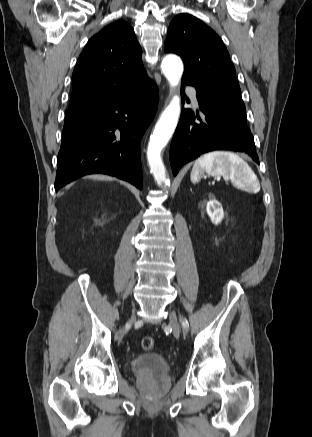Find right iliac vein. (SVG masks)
I'll use <instances>...</instances> for the list:
<instances>
[{
	"label": "right iliac vein",
	"mask_w": 312,
	"mask_h": 437,
	"mask_svg": "<svg viewBox=\"0 0 312 437\" xmlns=\"http://www.w3.org/2000/svg\"><path fill=\"white\" fill-rule=\"evenodd\" d=\"M132 320H134V317L132 318ZM127 328H129L130 327V322L127 324V326H126Z\"/></svg>",
	"instance_id": "63e3f726"
}]
</instances>
